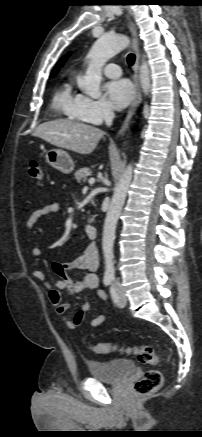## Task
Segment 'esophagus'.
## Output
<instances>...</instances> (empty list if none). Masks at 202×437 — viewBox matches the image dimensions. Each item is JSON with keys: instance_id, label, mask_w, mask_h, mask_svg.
Here are the masks:
<instances>
[{"instance_id": "esophagus-1", "label": "esophagus", "mask_w": 202, "mask_h": 437, "mask_svg": "<svg viewBox=\"0 0 202 437\" xmlns=\"http://www.w3.org/2000/svg\"><path fill=\"white\" fill-rule=\"evenodd\" d=\"M130 28H131L132 38H133V49H134L135 55H136L135 63L133 66V70H134L133 81H134V85H135L136 94H135V98H134L133 102L130 105L126 119H125L121 129L118 132V136H122L125 133L126 129L129 126V122H130L132 116L134 115L135 111L137 110L138 106L141 103V90H140V85H139V61H140L139 42H138L136 28L134 27V25L131 22H130Z\"/></svg>"}]
</instances>
